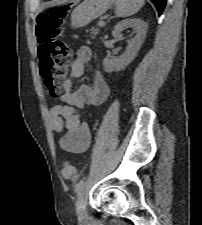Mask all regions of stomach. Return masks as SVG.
Returning <instances> with one entry per match:
<instances>
[{
	"label": "stomach",
	"instance_id": "stomach-1",
	"mask_svg": "<svg viewBox=\"0 0 202 225\" xmlns=\"http://www.w3.org/2000/svg\"><path fill=\"white\" fill-rule=\"evenodd\" d=\"M114 0H84L71 13V26L84 27L94 19L102 16L113 4Z\"/></svg>",
	"mask_w": 202,
	"mask_h": 225
}]
</instances>
